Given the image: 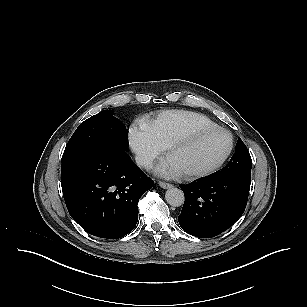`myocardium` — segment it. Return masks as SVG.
I'll return each mask as SVG.
<instances>
[{"label":"myocardium","mask_w":307,"mask_h":307,"mask_svg":"<svg viewBox=\"0 0 307 307\" xmlns=\"http://www.w3.org/2000/svg\"><path fill=\"white\" fill-rule=\"evenodd\" d=\"M216 132H222L228 135L229 140H230V145L227 150V152L224 154V156L214 165L198 170V171H192V172H187V173H182L180 176L185 179V180H195L199 179L202 177H206L208 175H211L221 169L223 165L227 162V160L230 158L231 154L233 153L234 147H235V140L230 131L227 129L220 127V126H215V127H209V128H202V129H197L194 131L189 132L188 134L184 135L183 137L179 138L178 140L174 141L170 145H168L165 148L166 154L169 155L172 152L178 151L182 148L187 147L190 145L192 142L195 140L206 136L208 134L216 133Z\"/></svg>","instance_id":"obj_1"}]
</instances>
